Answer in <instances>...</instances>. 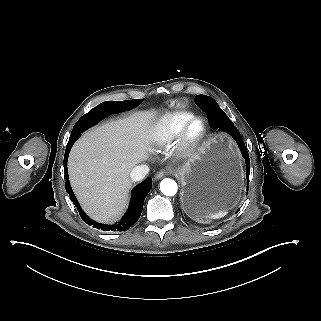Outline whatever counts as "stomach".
I'll return each mask as SVG.
<instances>
[{
  "label": "stomach",
  "mask_w": 321,
  "mask_h": 321,
  "mask_svg": "<svg viewBox=\"0 0 321 321\" xmlns=\"http://www.w3.org/2000/svg\"><path fill=\"white\" fill-rule=\"evenodd\" d=\"M167 104L185 106L178 98ZM177 177L182 185V207L193 220H198L201 212H219L235 205L243 186V167L236 143L225 133L207 139L178 170Z\"/></svg>",
  "instance_id": "obj_1"
}]
</instances>
